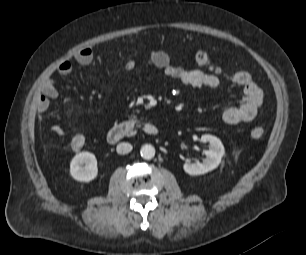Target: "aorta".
<instances>
[{
    "label": "aorta",
    "instance_id": "aorta-1",
    "mask_svg": "<svg viewBox=\"0 0 306 255\" xmlns=\"http://www.w3.org/2000/svg\"><path fill=\"white\" fill-rule=\"evenodd\" d=\"M140 154L144 159H151L155 155V148L151 144H145L141 147Z\"/></svg>",
    "mask_w": 306,
    "mask_h": 255
}]
</instances>
